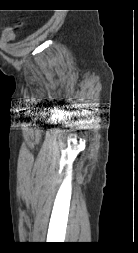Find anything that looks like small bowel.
I'll return each instance as SVG.
<instances>
[{"label": "small bowel", "instance_id": "small-bowel-1", "mask_svg": "<svg viewBox=\"0 0 138 253\" xmlns=\"http://www.w3.org/2000/svg\"><path fill=\"white\" fill-rule=\"evenodd\" d=\"M1 38H2L3 42H9V41L13 40L14 34H13V32L10 29H5L2 32Z\"/></svg>", "mask_w": 138, "mask_h": 253}]
</instances>
